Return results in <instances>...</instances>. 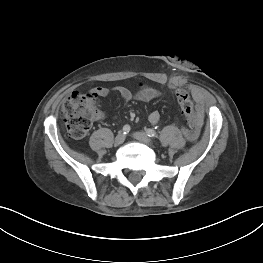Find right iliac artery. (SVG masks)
Instances as JSON below:
<instances>
[{"label": "right iliac artery", "instance_id": "right-iliac-artery-1", "mask_svg": "<svg viewBox=\"0 0 263 263\" xmlns=\"http://www.w3.org/2000/svg\"><path fill=\"white\" fill-rule=\"evenodd\" d=\"M130 126L129 125H125L124 127H123V133L124 134H128L129 132H130Z\"/></svg>", "mask_w": 263, "mask_h": 263}]
</instances>
